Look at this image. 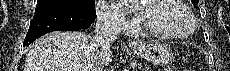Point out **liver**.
Here are the masks:
<instances>
[{
    "mask_svg": "<svg viewBox=\"0 0 230 71\" xmlns=\"http://www.w3.org/2000/svg\"><path fill=\"white\" fill-rule=\"evenodd\" d=\"M92 37L81 32H52L37 39L30 48L24 71H91L100 61L112 62L111 50L99 54L91 44Z\"/></svg>",
    "mask_w": 230,
    "mask_h": 71,
    "instance_id": "obj_1",
    "label": "liver"
}]
</instances>
